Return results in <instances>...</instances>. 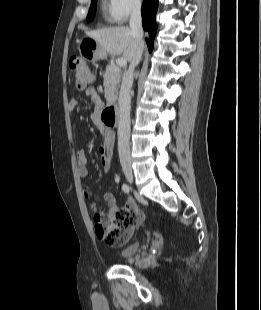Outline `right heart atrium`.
Masks as SVG:
<instances>
[{
	"mask_svg": "<svg viewBox=\"0 0 261 310\" xmlns=\"http://www.w3.org/2000/svg\"><path fill=\"white\" fill-rule=\"evenodd\" d=\"M141 0H109V15L114 23L122 24L140 13Z\"/></svg>",
	"mask_w": 261,
	"mask_h": 310,
	"instance_id": "d8ad5b80",
	"label": "right heart atrium"
}]
</instances>
